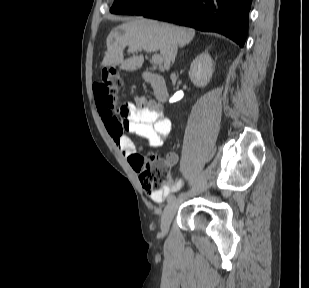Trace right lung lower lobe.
I'll return each mask as SVG.
<instances>
[{
	"label": "right lung lower lobe",
	"mask_w": 309,
	"mask_h": 288,
	"mask_svg": "<svg viewBox=\"0 0 309 288\" xmlns=\"http://www.w3.org/2000/svg\"><path fill=\"white\" fill-rule=\"evenodd\" d=\"M251 3L252 0H165L142 15L218 32L243 47Z\"/></svg>",
	"instance_id": "1"
}]
</instances>
